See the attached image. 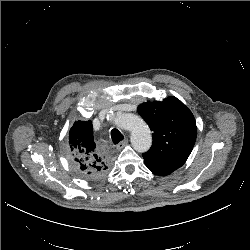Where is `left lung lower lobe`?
<instances>
[{"label": "left lung lower lobe", "mask_w": 250, "mask_h": 250, "mask_svg": "<svg viewBox=\"0 0 250 250\" xmlns=\"http://www.w3.org/2000/svg\"><path fill=\"white\" fill-rule=\"evenodd\" d=\"M154 174L156 175H160V176H166V175H169L167 173H164V172H161V171H157V170H153V169H150Z\"/></svg>", "instance_id": "left-lung-lower-lobe-1"}]
</instances>
